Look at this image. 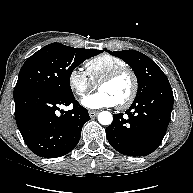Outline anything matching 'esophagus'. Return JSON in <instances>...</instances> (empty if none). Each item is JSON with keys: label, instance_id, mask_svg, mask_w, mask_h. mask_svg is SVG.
<instances>
[{"label": "esophagus", "instance_id": "1", "mask_svg": "<svg viewBox=\"0 0 193 193\" xmlns=\"http://www.w3.org/2000/svg\"><path fill=\"white\" fill-rule=\"evenodd\" d=\"M98 113H99L98 111H95V110H89V115H90L91 118L97 116Z\"/></svg>", "mask_w": 193, "mask_h": 193}]
</instances>
